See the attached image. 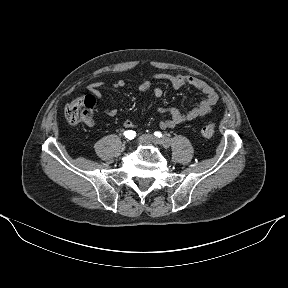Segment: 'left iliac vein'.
<instances>
[{
    "instance_id": "obj_1",
    "label": "left iliac vein",
    "mask_w": 288,
    "mask_h": 288,
    "mask_svg": "<svg viewBox=\"0 0 288 288\" xmlns=\"http://www.w3.org/2000/svg\"><path fill=\"white\" fill-rule=\"evenodd\" d=\"M141 140L147 143H153V144H161L165 148H168L170 143L169 140L166 138L158 139L154 137L152 134H146L141 137Z\"/></svg>"
}]
</instances>
